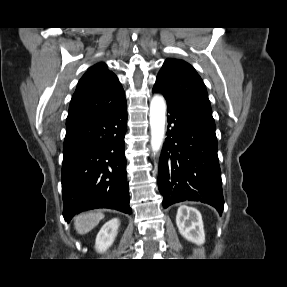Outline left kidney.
Listing matches in <instances>:
<instances>
[{
    "label": "left kidney",
    "mask_w": 287,
    "mask_h": 287,
    "mask_svg": "<svg viewBox=\"0 0 287 287\" xmlns=\"http://www.w3.org/2000/svg\"><path fill=\"white\" fill-rule=\"evenodd\" d=\"M176 224L180 234L188 241L198 245L205 242L202 216L197 209L180 206L176 215Z\"/></svg>",
    "instance_id": "1"
}]
</instances>
